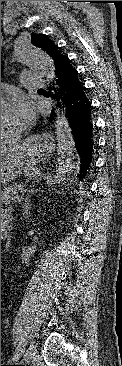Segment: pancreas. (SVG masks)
I'll return each mask as SVG.
<instances>
[{"instance_id": "cf45deb5", "label": "pancreas", "mask_w": 122, "mask_h": 366, "mask_svg": "<svg viewBox=\"0 0 122 366\" xmlns=\"http://www.w3.org/2000/svg\"><path fill=\"white\" fill-rule=\"evenodd\" d=\"M24 185L22 184H12L8 187H5L1 191V202L8 204L11 200H16L19 197V192L24 193Z\"/></svg>"}]
</instances>
